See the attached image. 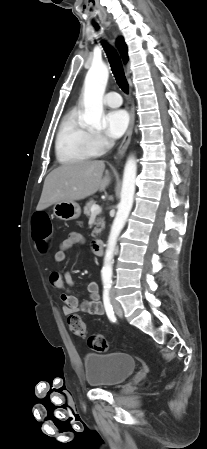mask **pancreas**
I'll list each match as a JSON object with an SVG mask.
<instances>
[{
    "label": "pancreas",
    "mask_w": 207,
    "mask_h": 449,
    "mask_svg": "<svg viewBox=\"0 0 207 449\" xmlns=\"http://www.w3.org/2000/svg\"><path fill=\"white\" fill-rule=\"evenodd\" d=\"M93 205H96V203H95L94 200H90L89 202L86 203V205H85V207H84V214H85L87 217H91V216H92L91 207H92ZM95 225H96V227L94 228V230H93V232H92V234H91L92 237H95L96 235H98V234L101 232V230L104 228V226H105L104 219H103V218H98V219L95 221ZM99 227H100V228H99Z\"/></svg>",
    "instance_id": "obj_1"
}]
</instances>
